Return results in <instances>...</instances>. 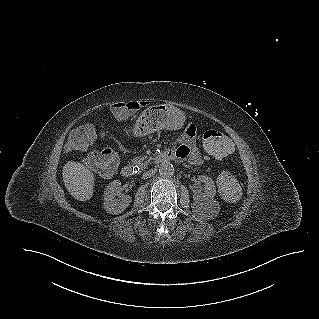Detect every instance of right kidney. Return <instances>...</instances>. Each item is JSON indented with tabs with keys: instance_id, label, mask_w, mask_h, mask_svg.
Segmentation results:
<instances>
[{
	"instance_id": "obj_1",
	"label": "right kidney",
	"mask_w": 319,
	"mask_h": 319,
	"mask_svg": "<svg viewBox=\"0 0 319 319\" xmlns=\"http://www.w3.org/2000/svg\"><path fill=\"white\" fill-rule=\"evenodd\" d=\"M121 182L112 181L104 191V208L109 214L122 213L131 203L132 198L129 195L121 194ZM118 195L120 199H116Z\"/></svg>"
}]
</instances>
